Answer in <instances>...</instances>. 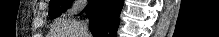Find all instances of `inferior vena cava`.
I'll return each instance as SVG.
<instances>
[{
    "instance_id": "1",
    "label": "inferior vena cava",
    "mask_w": 219,
    "mask_h": 37,
    "mask_svg": "<svg viewBox=\"0 0 219 37\" xmlns=\"http://www.w3.org/2000/svg\"><path fill=\"white\" fill-rule=\"evenodd\" d=\"M88 25H89L88 19L82 21L81 26H80V30H79L80 36L86 37L89 34Z\"/></svg>"
}]
</instances>
